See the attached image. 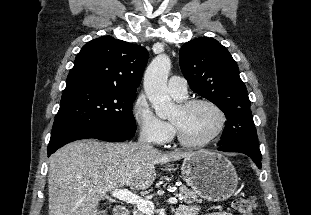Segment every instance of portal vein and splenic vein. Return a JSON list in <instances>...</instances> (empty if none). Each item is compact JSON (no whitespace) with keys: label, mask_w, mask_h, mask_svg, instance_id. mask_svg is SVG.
Instances as JSON below:
<instances>
[{"label":"portal vein and splenic vein","mask_w":311,"mask_h":215,"mask_svg":"<svg viewBox=\"0 0 311 215\" xmlns=\"http://www.w3.org/2000/svg\"><path fill=\"white\" fill-rule=\"evenodd\" d=\"M112 197L117 198L128 204H132L137 207L138 210L146 215H152L154 213V203L149 200H144L141 197L133 194L128 189H115L111 192ZM169 204H177L176 197L169 198L167 201Z\"/></svg>","instance_id":"18ae733b"}]
</instances>
